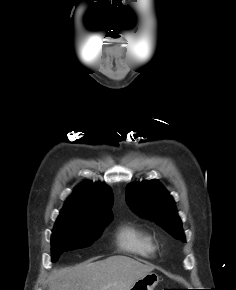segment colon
Returning a JSON list of instances; mask_svg holds the SVG:
<instances>
[{"label": "colon", "instance_id": "1", "mask_svg": "<svg viewBox=\"0 0 236 290\" xmlns=\"http://www.w3.org/2000/svg\"><path fill=\"white\" fill-rule=\"evenodd\" d=\"M163 290H177V289H163Z\"/></svg>", "mask_w": 236, "mask_h": 290}]
</instances>
